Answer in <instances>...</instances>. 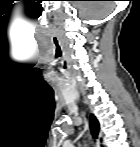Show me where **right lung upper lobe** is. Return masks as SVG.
Returning <instances> with one entry per match:
<instances>
[{
  "mask_svg": "<svg viewBox=\"0 0 140 147\" xmlns=\"http://www.w3.org/2000/svg\"><path fill=\"white\" fill-rule=\"evenodd\" d=\"M90 129L93 137H97L99 134V122L93 114L90 116Z\"/></svg>",
  "mask_w": 140,
  "mask_h": 147,
  "instance_id": "right-lung-upper-lobe-1",
  "label": "right lung upper lobe"
}]
</instances>
